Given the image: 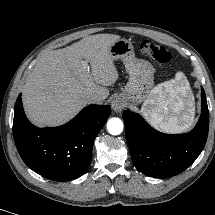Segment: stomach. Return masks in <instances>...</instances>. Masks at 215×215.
I'll list each match as a JSON object with an SVG mask.
<instances>
[{
  "instance_id": "1",
  "label": "stomach",
  "mask_w": 215,
  "mask_h": 215,
  "mask_svg": "<svg viewBox=\"0 0 215 215\" xmlns=\"http://www.w3.org/2000/svg\"><path fill=\"white\" fill-rule=\"evenodd\" d=\"M109 52L113 60L121 59L129 74V81L122 89L120 96L129 104L138 105L146 101L154 86V68L146 60L135 57L131 42L119 39L114 42Z\"/></svg>"
}]
</instances>
